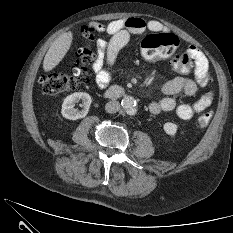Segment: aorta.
Returning <instances> with one entry per match:
<instances>
[{
    "instance_id": "aorta-1",
    "label": "aorta",
    "mask_w": 233,
    "mask_h": 233,
    "mask_svg": "<svg viewBox=\"0 0 233 233\" xmlns=\"http://www.w3.org/2000/svg\"><path fill=\"white\" fill-rule=\"evenodd\" d=\"M122 108L128 115H135L137 112V102L132 96H125L121 102Z\"/></svg>"
}]
</instances>
